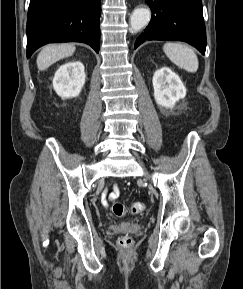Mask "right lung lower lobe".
I'll return each mask as SVG.
<instances>
[{
  "label": "right lung lower lobe",
  "mask_w": 243,
  "mask_h": 289,
  "mask_svg": "<svg viewBox=\"0 0 243 289\" xmlns=\"http://www.w3.org/2000/svg\"><path fill=\"white\" fill-rule=\"evenodd\" d=\"M100 0H30L27 58L47 43L84 42L100 46Z\"/></svg>",
  "instance_id": "right-lung-lower-lobe-1"
}]
</instances>
